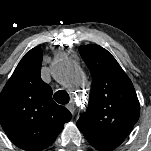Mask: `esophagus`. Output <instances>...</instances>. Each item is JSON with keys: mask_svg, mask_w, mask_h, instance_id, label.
I'll list each match as a JSON object with an SVG mask.
<instances>
[{"mask_svg": "<svg viewBox=\"0 0 151 151\" xmlns=\"http://www.w3.org/2000/svg\"><path fill=\"white\" fill-rule=\"evenodd\" d=\"M68 108V110L73 114L74 110H75V105L73 102H70L69 104H67L66 106Z\"/></svg>", "mask_w": 151, "mask_h": 151, "instance_id": "34e87169", "label": "esophagus"}]
</instances>
